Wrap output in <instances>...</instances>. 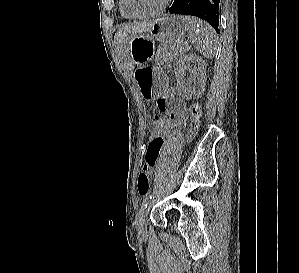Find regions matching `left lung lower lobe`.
<instances>
[{"instance_id": "left-lung-lower-lobe-1", "label": "left lung lower lobe", "mask_w": 299, "mask_h": 273, "mask_svg": "<svg viewBox=\"0 0 299 273\" xmlns=\"http://www.w3.org/2000/svg\"><path fill=\"white\" fill-rule=\"evenodd\" d=\"M220 3L221 0H174L167 12L200 17L218 33Z\"/></svg>"}]
</instances>
